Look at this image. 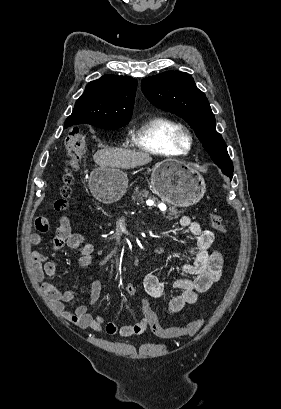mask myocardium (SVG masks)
Segmentation results:
<instances>
[{
  "label": "myocardium",
  "instance_id": "obj_1",
  "mask_svg": "<svg viewBox=\"0 0 281 409\" xmlns=\"http://www.w3.org/2000/svg\"><path fill=\"white\" fill-rule=\"evenodd\" d=\"M178 144L184 152H188L193 144L191 135L184 130L178 137Z\"/></svg>",
  "mask_w": 281,
  "mask_h": 409
}]
</instances>
